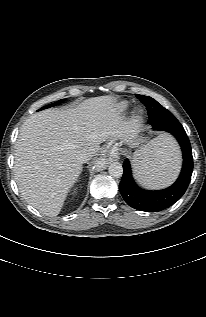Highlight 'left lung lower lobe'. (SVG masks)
<instances>
[{
	"label": "left lung lower lobe",
	"instance_id": "obj_1",
	"mask_svg": "<svg viewBox=\"0 0 206 317\" xmlns=\"http://www.w3.org/2000/svg\"><path fill=\"white\" fill-rule=\"evenodd\" d=\"M156 114L170 112L160 104H152ZM151 115V113H148ZM168 120V119H167ZM163 131L171 133L178 141L183 153V167L177 181L167 189L147 191L139 188L132 179L129 160L123 164V176L120 193L126 203L134 209L146 212H158L177 202L187 190L193 171V157L188 136L183 127L164 126Z\"/></svg>",
	"mask_w": 206,
	"mask_h": 317
}]
</instances>
